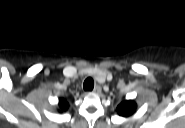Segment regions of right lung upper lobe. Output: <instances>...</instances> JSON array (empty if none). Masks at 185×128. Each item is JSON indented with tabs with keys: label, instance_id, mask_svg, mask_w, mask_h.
Returning a JSON list of instances; mask_svg holds the SVG:
<instances>
[{
	"label": "right lung upper lobe",
	"instance_id": "1",
	"mask_svg": "<svg viewBox=\"0 0 185 128\" xmlns=\"http://www.w3.org/2000/svg\"><path fill=\"white\" fill-rule=\"evenodd\" d=\"M59 106L62 110H66L68 108V103L66 102L65 99H60Z\"/></svg>",
	"mask_w": 185,
	"mask_h": 128
}]
</instances>
